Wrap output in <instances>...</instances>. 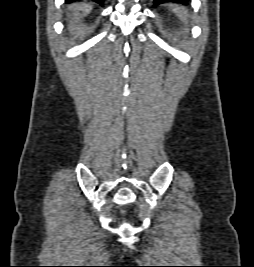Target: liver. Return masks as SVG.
<instances>
[{"label":"liver","mask_w":254,"mask_h":267,"mask_svg":"<svg viewBox=\"0 0 254 267\" xmlns=\"http://www.w3.org/2000/svg\"><path fill=\"white\" fill-rule=\"evenodd\" d=\"M92 8V5L86 3L69 5L68 9L71 12L70 14H68V17L71 19L70 24L72 25L77 23L81 18L89 14Z\"/></svg>","instance_id":"6515ba94"}]
</instances>
